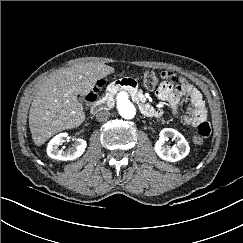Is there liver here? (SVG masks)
<instances>
[{"label": "liver", "mask_w": 243, "mask_h": 243, "mask_svg": "<svg viewBox=\"0 0 243 243\" xmlns=\"http://www.w3.org/2000/svg\"><path fill=\"white\" fill-rule=\"evenodd\" d=\"M115 70L104 63L88 62L61 69L38 87L29 111V128L35 145L56 133L76 128L85 120L78 95H87L96 82Z\"/></svg>", "instance_id": "1"}]
</instances>
